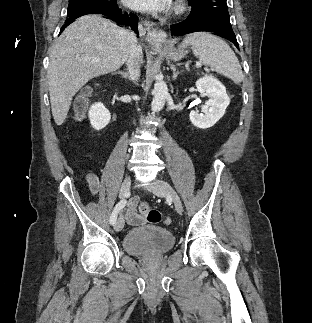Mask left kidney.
<instances>
[{
	"mask_svg": "<svg viewBox=\"0 0 312 323\" xmlns=\"http://www.w3.org/2000/svg\"><path fill=\"white\" fill-rule=\"evenodd\" d=\"M196 88L200 94L209 96L211 100L205 102V106H201L203 114H199L198 110H192L189 118L193 126L206 130V128L214 126L224 116L230 98L226 94L225 86L218 82L214 76H203V78L197 80Z\"/></svg>",
	"mask_w": 312,
	"mask_h": 323,
	"instance_id": "1",
	"label": "left kidney"
}]
</instances>
